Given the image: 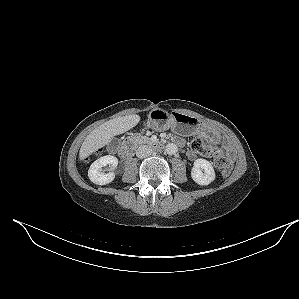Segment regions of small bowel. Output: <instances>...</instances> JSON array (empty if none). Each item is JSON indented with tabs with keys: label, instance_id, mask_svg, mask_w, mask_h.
<instances>
[{
	"label": "small bowel",
	"instance_id": "1",
	"mask_svg": "<svg viewBox=\"0 0 299 299\" xmlns=\"http://www.w3.org/2000/svg\"><path fill=\"white\" fill-rule=\"evenodd\" d=\"M173 141H174L176 144L180 145V146H182V145L184 144L183 139L180 138V137H178V136H174V137H173ZM228 153L230 154V150H228ZM197 154H198V152L194 151L193 149L190 150V151H188V156H189V158H191V159H194V158L196 157ZM199 154H200V153H199ZM201 155H203V154H201ZM203 156H207V155H203Z\"/></svg>",
	"mask_w": 299,
	"mask_h": 299
}]
</instances>
